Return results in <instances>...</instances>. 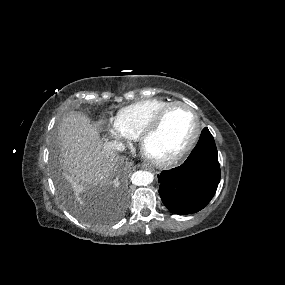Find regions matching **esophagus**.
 Returning <instances> with one entry per match:
<instances>
[{"instance_id":"esophagus-1","label":"esophagus","mask_w":285,"mask_h":285,"mask_svg":"<svg viewBox=\"0 0 285 285\" xmlns=\"http://www.w3.org/2000/svg\"><path fill=\"white\" fill-rule=\"evenodd\" d=\"M142 168L148 170V169H150V166L147 165V164H143V165H142Z\"/></svg>"}]
</instances>
